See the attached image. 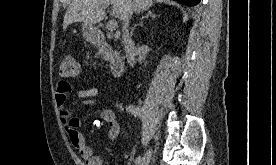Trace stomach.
I'll return each mask as SVG.
<instances>
[{
    "mask_svg": "<svg viewBox=\"0 0 276 165\" xmlns=\"http://www.w3.org/2000/svg\"><path fill=\"white\" fill-rule=\"evenodd\" d=\"M83 37L89 41V42H92L94 40H96L97 38V29L94 28L92 25H86V24H83Z\"/></svg>",
    "mask_w": 276,
    "mask_h": 165,
    "instance_id": "obj_1",
    "label": "stomach"
}]
</instances>
